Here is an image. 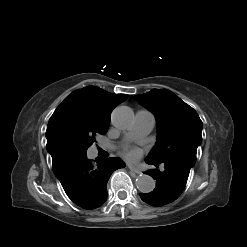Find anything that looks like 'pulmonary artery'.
Listing matches in <instances>:
<instances>
[{"label":"pulmonary artery","instance_id":"pulmonary-artery-1","mask_svg":"<svg viewBox=\"0 0 247 247\" xmlns=\"http://www.w3.org/2000/svg\"><path fill=\"white\" fill-rule=\"evenodd\" d=\"M155 125V116L148 110H138L134 124L126 134V139L144 137L151 132Z\"/></svg>","mask_w":247,"mask_h":247}]
</instances>
